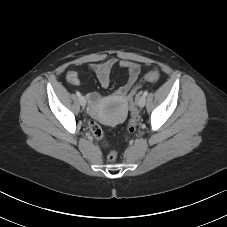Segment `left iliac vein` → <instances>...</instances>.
Instances as JSON below:
<instances>
[{
    "label": "left iliac vein",
    "instance_id": "1",
    "mask_svg": "<svg viewBox=\"0 0 227 227\" xmlns=\"http://www.w3.org/2000/svg\"><path fill=\"white\" fill-rule=\"evenodd\" d=\"M145 102H146L145 97H144V96H141V97L139 98V100H138V106H139L140 108H143V107L145 106Z\"/></svg>",
    "mask_w": 227,
    "mask_h": 227
}]
</instances>
